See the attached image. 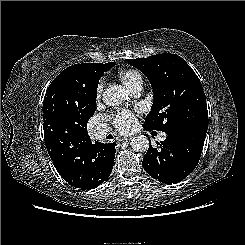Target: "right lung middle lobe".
Returning <instances> with one entry per match:
<instances>
[{
	"label": "right lung middle lobe",
	"mask_w": 245,
	"mask_h": 245,
	"mask_svg": "<svg viewBox=\"0 0 245 245\" xmlns=\"http://www.w3.org/2000/svg\"><path fill=\"white\" fill-rule=\"evenodd\" d=\"M98 81L95 82L93 89L91 90V102H92V114L95 112V107H96V97H97V87H98ZM87 126L84 127L82 131V135H87Z\"/></svg>",
	"instance_id": "1"
}]
</instances>
